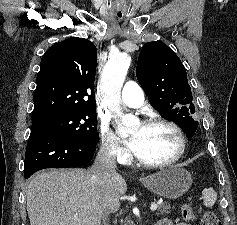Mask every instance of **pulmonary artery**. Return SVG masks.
Returning a JSON list of instances; mask_svg holds the SVG:
<instances>
[{
    "label": "pulmonary artery",
    "mask_w": 237,
    "mask_h": 225,
    "mask_svg": "<svg viewBox=\"0 0 237 225\" xmlns=\"http://www.w3.org/2000/svg\"><path fill=\"white\" fill-rule=\"evenodd\" d=\"M121 101L129 107L138 108L144 103V92L139 84L127 81L121 93Z\"/></svg>",
    "instance_id": "1"
}]
</instances>
